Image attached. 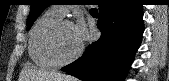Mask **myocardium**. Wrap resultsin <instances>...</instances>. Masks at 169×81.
Returning a JSON list of instances; mask_svg holds the SVG:
<instances>
[{"mask_svg": "<svg viewBox=\"0 0 169 81\" xmlns=\"http://www.w3.org/2000/svg\"><path fill=\"white\" fill-rule=\"evenodd\" d=\"M64 25H72V22L67 19L60 20L57 24L54 25V27L51 29L48 41H47V50L50 55V57L54 60V62L59 65L63 66L66 64H69L79 58L83 51V45H80L79 49L70 57L63 58L60 56L57 48V39L59 35V31Z\"/></svg>", "mask_w": 169, "mask_h": 81, "instance_id": "f54148a6", "label": "myocardium"}]
</instances>
